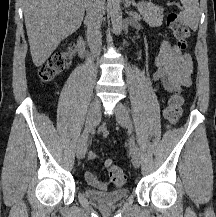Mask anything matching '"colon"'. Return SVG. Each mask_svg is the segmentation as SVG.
<instances>
[{"instance_id": "obj_1", "label": "colon", "mask_w": 216, "mask_h": 217, "mask_svg": "<svg viewBox=\"0 0 216 217\" xmlns=\"http://www.w3.org/2000/svg\"><path fill=\"white\" fill-rule=\"evenodd\" d=\"M166 21L172 31L177 46L180 49L187 48L190 35L189 28L180 16L175 12H171L168 14ZM75 48V45L72 44L66 51L53 56L48 63L40 68L38 73L39 79L42 82H50L57 75L66 70L71 62ZM183 104L184 98L180 93L176 92L170 96L164 113L165 119L169 125H175L178 122L182 115ZM98 133L102 138L106 139L110 135V129L107 125H102ZM109 174L111 181L116 185H123L126 181L125 172L121 167L110 165Z\"/></svg>"}]
</instances>
